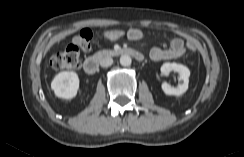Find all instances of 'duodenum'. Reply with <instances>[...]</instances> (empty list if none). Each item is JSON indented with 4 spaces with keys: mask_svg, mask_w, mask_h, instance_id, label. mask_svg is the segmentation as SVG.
Segmentation results:
<instances>
[{
    "mask_svg": "<svg viewBox=\"0 0 244 157\" xmlns=\"http://www.w3.org/2000/svg\"><path fill=\"white\" fill-rule=\"evenodd\" d=\"M102 55L113 57L120 55H129L137 61H142L144 59L143 54L133 48H119L115 50H110L108 52L103 53ZM83 68L85 72L88 74L96 73L99 69V57L93 56L87 58L83 63Z\"/></svg>",
    "mask_w": 244,
    "mask_h": 157,
    "instance_id": "410a0bca",
    "label": "duodenum"
}]
</instances>
